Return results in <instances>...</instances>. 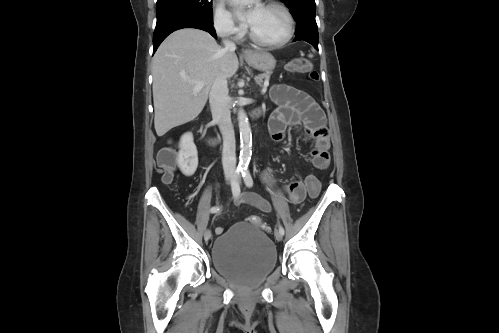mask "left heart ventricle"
I'll return each mask as SVG.
<instances>
[{"label": "left heart ventricle", "mask_w": 499, "mask_h": 333, "mask_svg": "<svg viewBox=\"0 0 499 333\" xmlns=\"http://www.w3.org/2000/svg\"><path fill=\"white\" fill-rule=\"evenodd\" d=\"M250 27L259 38L277 41L286 35L288 23L285 14L280 9L262 6L257 11Z\"/></svg>", "instance_id": "left-heart-ventricle-1"}]
</instances>
